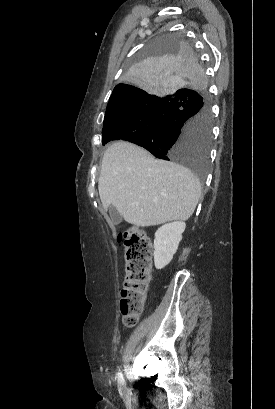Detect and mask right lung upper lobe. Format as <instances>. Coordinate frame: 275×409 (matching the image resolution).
Here are the masks:
<instances>
[{"label":"right lung upper lobe","mask_w":275,"mask_h":409,"mask_svg":"<svg viewBox=\"0 0 275 409\" xmlns=\"http://www.w3.org/2000/svg\"><path fill=\"white\" fill-rule=\"evenodd\" d=\"M143 92L145 91L136 90L135 86L133 85L118 84L112 92L106 111H109L112 107H114L116 104L123 101L124 99Z\"/></svg>","instance_id":"cb5924a9"}]
</instances>
